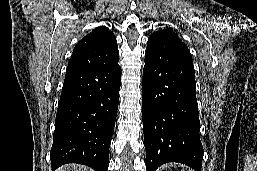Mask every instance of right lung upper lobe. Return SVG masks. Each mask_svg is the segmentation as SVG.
<instances>
[{
  "label": "right lung upper lobe",
  "instance_id": "right-lung-upper-lobe-1",
  "mask_svg": "<svg viewBox=\"0 0 257 171\" xmlns=\"http://www.w3.org/2000/svg\"><path fill=\"white\" fill-rule=\"evenodd\" d=\"M119 60L116 37L105 26H99L75 46L67 72H78L109 66Z\"/></svg>",
  "mask_w": 257,
  "mask_h": 171
}]
</instances>
